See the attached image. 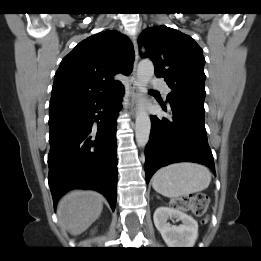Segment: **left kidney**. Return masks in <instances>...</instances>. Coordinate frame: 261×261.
Listing matches in <instances>:
<instances>
[{
    "mask_svg": "<svg viewBox=\"0 0 261 261\" xmlns=\"http://www.w3.org/2000/svg\"><path fill=\"white\" fill-rule=\"evenodd\" d=\"M174 218L181 221L179 226L170 225L167 220ZM154 224L163 240L172 248L193 247L198 237V223L193 217L174 208L159 207L155 210Z\"/></svg>",
    "mask_w": 261,
    "mask_h": 261,
    "instance_id": "1",
    "label": "left kidney"
}]
</instances>
